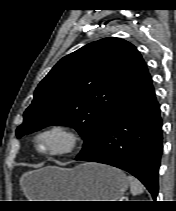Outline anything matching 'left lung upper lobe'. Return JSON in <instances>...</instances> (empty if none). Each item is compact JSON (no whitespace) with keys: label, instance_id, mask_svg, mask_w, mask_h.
Returning a JSON list of instances; mask_svg holds the SVG:
<instances>
[{"label":"left lung upper lobe","instance_id":"left-lung-upper-lobe-1","mask_svg":"<svg viewBox=\"0 0 176 211\" xmlns=\"http://www.w3.org/2000/svg\"><path fill=\"white\" fill-rule=\"evenodd\" d=\"M138 50L109 37L83 46L62 58L37 86L20 138L48 125L75 128L86 151L108 117L121 105L152 86Z\"/></svg>","mask_w":176,"mask_h":211}]
</instances>
